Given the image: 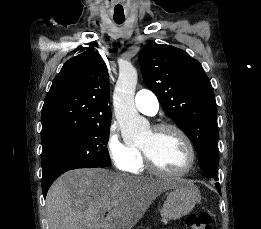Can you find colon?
Listing matches in <instances>:
<instances>
[{
  "label": "colon",
  "instance_id": "1",
  "mask_svg": "<svg viewBox=\"0 0 261 229\" xmlns=\"http://www.w3.org/2000/svg\"><path fill=\"white\" fill-rule=\"evenodd\" d=\"M187 229H212V220L208 212H192L186 219Z\"/></svg>",
  "mask_w": 261,
  "mask_h": 229
}]
</instances>
